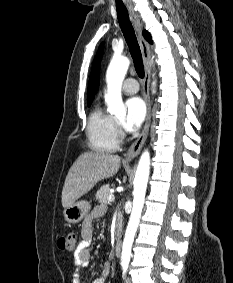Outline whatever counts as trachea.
<instances>
[{
    "mask_svg": "<svg viewBox=\"0 0 233 283\" xmlns=\"http://www.w3.org/2000/svg\"><path fill=\"white\" fill-rule=\"evenodd\" d=\"M116 10L118 15V22L133 58L135 70L140 78H144L142 55L134 28L129 20L128 11L124 6H116Z\"/></svg>",
    "mask_w": 233,
    "mask_h": 283,
    "instance_id": "3493384b",
    "label": "trachea"
}]
</instances>
